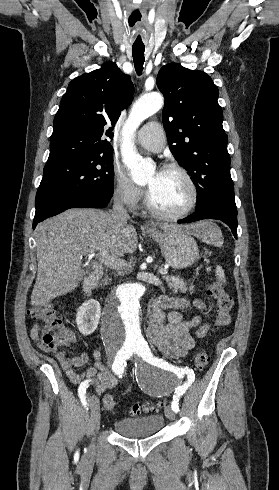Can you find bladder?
<instances>
[{
  "label": "bladder",
  "instance_id": "obj_1",
  "mask_svg": "<svg viewBox=\"0 0 279 490\" xmlns=\"http://www.w3.org/2000/svg\"><path fill=\"white\" fill-rule=\"evenodd\" d=\"M165 425V418L160 413L146 417H127L113 422L112 429L118 435L126 437L153 436L160 433Z\"/></svg>",
  "mask_w": 279,
  "mask_h": 490
}]
</instances>
